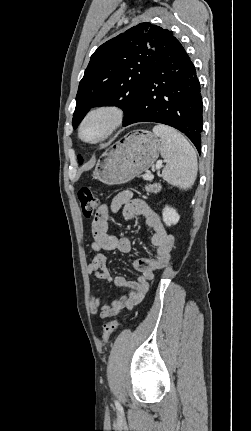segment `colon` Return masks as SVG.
I'll return each instance as SVG.
<instances>
[{
    "mask_svg": "<svg viewBox=\"0 0 251 431\" xmlns=\"http://www.w3.org/2000/svg\"><path fill=\"white\" fill-rule=\"evenodd\" d=\"M77 196L83 216L85 218L92 217L98 206V199L95 197L91 189L89 187H81L78 190ZM118 324L119 321L117 319H114L104 325L102 333V338L104 342L109 341L112 333L115 331Z\"/></svg>",
    "mask_w": 251,
    "mask_h": 431,
    "instance_id": "obj_1",
    "label": "colon"
}]
</instances>
